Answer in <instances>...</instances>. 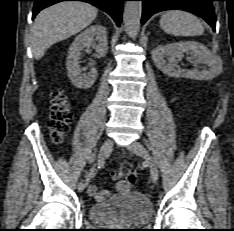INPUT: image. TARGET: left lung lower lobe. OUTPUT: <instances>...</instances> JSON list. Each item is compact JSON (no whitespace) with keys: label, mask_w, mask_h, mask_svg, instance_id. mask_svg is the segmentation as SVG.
Segmentation results:
<instances>
[{"label":"left lung lower lobe","mask_w":234,"mask_h":231,"mask_svg":"<svg viewBox=\"0 0 234 231\" xmlns=\"http://www.w3.org/2000/svg\"><path fill=\"white\" fill-rule=\"evenodd\" d=\"M143 1L142 23L144 24L154 13L181 9L203 18L215 29L216 17L212 1L215 0H140Z\"/></svg>","instance_id":"0a47b994"}]
</instances>
